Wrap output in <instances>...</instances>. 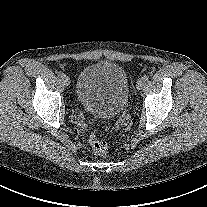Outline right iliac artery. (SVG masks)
<instances>
[{"label":"right iliac artery","mask_w":207,"mask_h":207,"mask_svg":"<svg viewBox=\"0 0 207 207\" xmlns=\"http://www.w3.org/2000/svg\"><path fill=\"white\" fill-rule=\"evenodd\" d=\"M57 75H58V77H60V78H61V77H63V76H64V73L60 71V72H57Z\"/></svg>","instance_id":"1"}]
</instances>
